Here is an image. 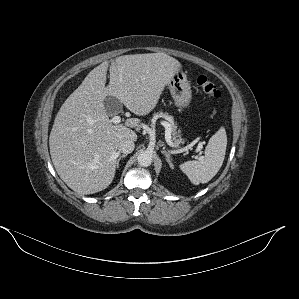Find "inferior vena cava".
Segmentation results:
<instances>
[{
    "instance_id": "inferior-vena-cava-1",
    "label": "inferior vena cava",
    "mask_w": 299,
    "mask_h": 299,
    "mask_svg": "<svg viewBox=\"0 0 299 299\" xmlns=\"http://www.w3.org/2000/svg\"><path fill=\"white\" fill-rule=\"evenodd\" d=\"M134 147V141L129 138H123L118 143V151L124 154L131 153Z\"/></svg>"
}]
</instances>
